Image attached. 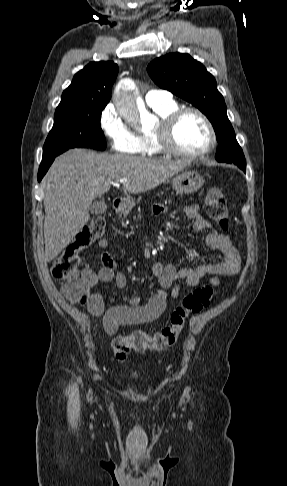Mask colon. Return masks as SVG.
Here are the masks:
<instances>
[{"label": "colon", "mask_w": 287, "mask_h": 486, "mask_svg": "<svg viewBox=\"0 0 287 486\" xmlns=\"http://www.w3.org/2000/svg\"><path fill=\"white\" fill-rule=\"evenodd\" d=\"M206 210L220 230L228 229V209L219 188L212 187L208 190ZM105 224L103 217H94L78 232L74 241L52 264L53 278L62 282V293L73 303H87L90 289L95 283V275L91 270L79 268V252L103 234ZM212 298L213 288L211 286L198 287L183 298L181 304L172 311L169 323L159 331L147 333L139 330L116 337L112 341L115 358L124 362L131 351H162L172 347L177 342L189 316L209 306Z\"/></svg>", "instance_id": "1"}]
</instances>
